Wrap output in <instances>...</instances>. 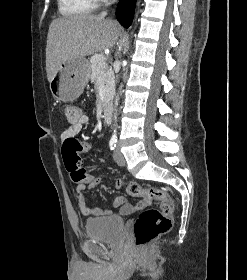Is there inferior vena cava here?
<instances>
[{"instance_id":"1","label":"inferior vena cava","mask_w":247,"mask_h":280,"mask_svg":"<svg viewBox=\"0 0 247 280\" xmlns=\"http://www.w3.org/2000/svg\"><path fill=\"white\" fill-rule=\"evenodd\" d=\"M108 4H110V3H108ZM101 15H105V12L101 13Z\"/></svg>"}]
</instances>
